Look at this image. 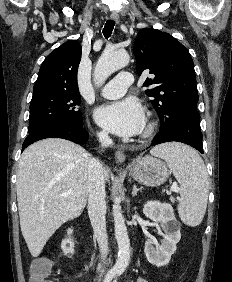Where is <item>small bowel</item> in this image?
<instances>
[{
	"label": "small bowel",
	"instance_id": "obj_1",
	"mask_svg": "<svg viewBox=\"0 0 232 282\" xmlns=\"http://www.w3.org/2000/svg\"><path fill=\"white\" fill-rule=\"evenodd\" d=\"M137 282H148L146 279H144L143 277H139L137 279Z\"/></svg>",
	"mask_w": 232,
	"mask_h": 282
}]
</instances>
